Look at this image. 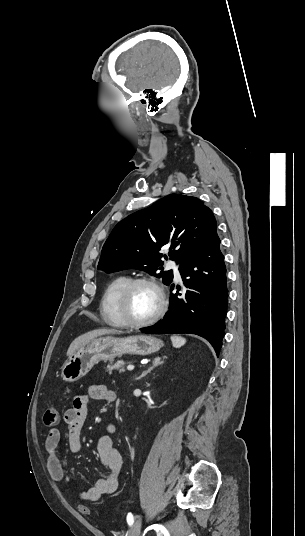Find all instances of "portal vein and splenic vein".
Returning a JSON list of instances; mask_svg holds the SVG:
<instances>
[{"label": "portal vein and splenic vein", "instance_id": "1", "mask_svg": "<svg viewBox=\"0 0 305 536\" xmlns=\"http://www.w3.org/2000/svg\"><path fill=\"white\" fill-rule=\"evenodd\" d=\"M127 370H134V366H127Z\"/></svg>", "mask_w": 305, "mask_h": 536}]
</instances>
